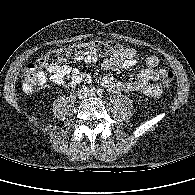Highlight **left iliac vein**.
<instances>
[{"instance_id":"obj_1","label":"left iliac vein","mask_w":195,"mask_h":195,"mask_svg":"<svg viewBox=\"0 0 195 195\" xmlns=\"http://www.w3.org/2000/svg\"><path fill=\"white\" fill-rule=\"evenodd\" d=\"M90 96H94V93H90Z\"/></svg>"}]
</instances>
